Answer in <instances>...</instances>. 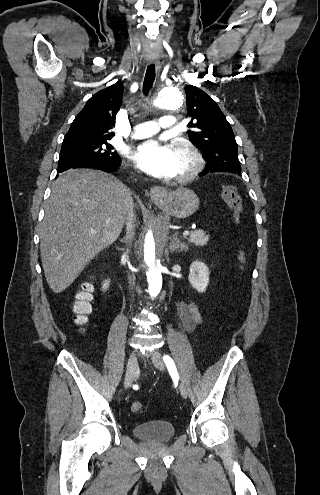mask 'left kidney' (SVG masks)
<instances>
[{
    "label": "left kidney",
    "mask_w": 320,
    "mask_h": 495,
    "mask_svg": "<svg viewBox=\"0 0 320 495\" xmlns=\"http://www.w3.org/2000/svg\"><path fill=\"white\" fill-rule=\"evenodd\" d=\"M189 282L198 292H204L209 284V270L203 262L195 261L190 266Z\"/></svg>",
    "instance_id": "obj_1"
}]
</instances>
